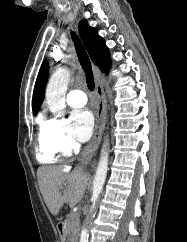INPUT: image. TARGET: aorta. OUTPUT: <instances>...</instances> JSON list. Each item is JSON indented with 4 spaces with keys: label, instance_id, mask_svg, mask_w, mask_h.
I'll use <instances>...</instances> for the list:
<instances>
[{
    "label": "aorta",
    "instance_id": "762f6f07",
    "mask_svg": "<svg viewBox=\"0 0 187 242\" xmlns=\"http://www.w3.org/2000/svg\"><path fill=\"white\" fill-rule=\"evenodd\" d=\"M69 80L70 70L60 67L56 69L47 84L45 92L46 102L48 104L49 110L56 116H61L65 107V95ZM108 145V140H106L103 144L100 159L94 176L92 206L90 212L93 211L95 203L102 192L106 180L109 161ZM81 242H88V230L86 228H84L82 231Z\"/></svg>",
    "mask_w": 187,
    "mask_h": 242
}]
</instances>
